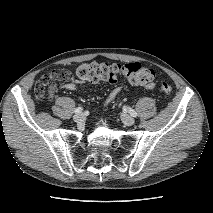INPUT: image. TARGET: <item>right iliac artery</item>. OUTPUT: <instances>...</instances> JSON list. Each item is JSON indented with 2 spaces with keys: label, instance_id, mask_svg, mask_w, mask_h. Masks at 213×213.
<instances>
[{
  "label": "right iliac artery",
  "instance_id": "82829eb1",
  "mask_svg": "<svg viewBox=\"0 0 213 213\" xmlns=\"http://www.w3.org/2000/svg\"><path fill=\"white\" fill-rule=\"evenodd\" d=\"M82 110H83L82 107H78V108H76V109L74 110V112H75L76 114H79V113L82 112Z\"/></svg>",
  "mask_w": 213,
  "mask_h": 213
}]
</instances>
